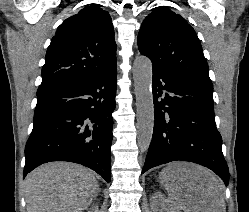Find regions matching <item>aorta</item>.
<instances>
[{
    "instance_id": "obj_1",
    "label": "aorta",
    "mask_w": 249,
    "mask_h": 212,
    "mask_svg": "<svg viewBox=\"0 0 249 212\" xmlns=\"http://www.w3.org/2000/svg\"><path fill=\"white\" fill-rule=\"evenodd\" d=\"M137 107V141L141 152L150 146L154 129V103L152 95V63L145 56H138L133 64Z\"/></svg>"
}]
</instances>
